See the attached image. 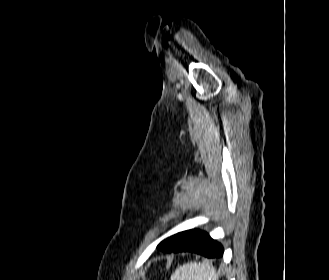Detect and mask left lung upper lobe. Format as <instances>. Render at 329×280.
Masks as SVG:
<instances>
[{"label": "left lung upper lobe", "instance_id": "5c2ea615", "mask_svg": "<svg viewBox=\"0 0 329 280\" xmlns=\"http://www.w3.org/2000/svg\"><path fill=\"white\" fill-rule=\"evenodd\" d=\"M166 244H167V239L164 240V241H162V242L157 246V248H158V249H161V248L164 247Z\"/></svg>", "mask_w": 329, "mask_h": 280}]
</instances>
